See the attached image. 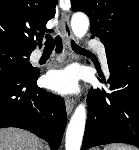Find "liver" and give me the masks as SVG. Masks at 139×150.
Wrapping results in <instances>:
<instances>
[{"label": "liver", "mask_w": 139, "mask_h": 150, "mask_svg": "<svg viewBox=\"0 0 139 150\" xmlns=\"http://www.w3.org/2000/svg\"><path fill=\"white\" fill-rule=\"evenodd\" d=\"M0 150H42V143L28 131L5 128L0 129Z\"/></svg>", "instance_id": "1"}]
</instances>
